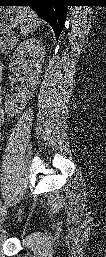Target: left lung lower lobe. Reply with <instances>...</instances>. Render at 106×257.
<instances>
[{"instance_id":"1","label":"left lung lower lobe","mask_w":106,"mask_h":257,"mask_svg":"<svg viewBox=\"0 0 106 257\" xmlns=\"http://www.w3.org/2000/svg\"><path fill=\"white\" fill-rule=\"evenodd\" d=\"M10 6H30L43 20L48 22L58 39L67 14L66 0H0Z\"/></svg>"}]
</instances>
